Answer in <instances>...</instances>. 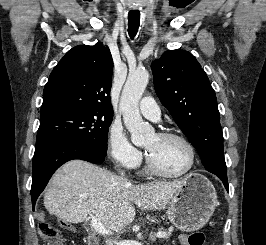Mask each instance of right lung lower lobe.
Here are the masks:
<instances>
[{"instance_id": "98d812e1", "label": "right lung lower lobe", "mask_w": 266, "mask_h": 245, "mask_svg": "<svg viewBox=\"0 0 266 245\" xmlns=\"http://www.w3.org/2000/svg\"><path fill=\"white\" fill-rule=\"evenodd\" d=\"M105 156L86 145L68 139H56L36 146L31 187L33 210L38 196L44 190L52 174L62 164L73 159L102 163Z\"/></svg>"}]
</instances>
